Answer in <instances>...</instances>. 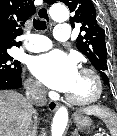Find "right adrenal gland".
<instances>
[{"label": "right adrenal gland", "instance_id": "right-adrenal-gland-1", "mask_svg": "<svg viewBox=\"0 0 117 136\" xmlns=\"http://www.w3.org/2000/svg\"><path fill=\"white\" fill-rule=\"evenodd\" d=\"M29 133H30V130L28 131V134H27V136L29 135Z\"/></svg>", "mask_w": 117, "mask_h": 136}]
</instances>
